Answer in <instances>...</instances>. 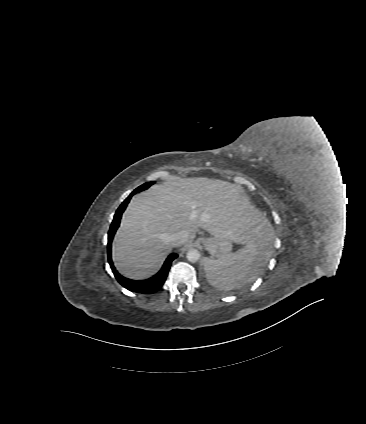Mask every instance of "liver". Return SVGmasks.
<instances>
[{
	"label": "liver",
	"instance_id": "1",
	"mask_svg": "<svg viewBox=\"0 0 366 424\" xmlns=\"http://www.w3.org/2000/svg\"><path fill=\"white\" fill-rule=\"evenodd\" d=\"M199 228L241 245L267 244L272 231L239 186L206 177L176 178L131 199L113 240L114 264L126 278L145 279L172 250V234L185 231V245Z\"/></svg>",
	"mask_w": 366,
	"mask_h": 424
}]
</instances>
